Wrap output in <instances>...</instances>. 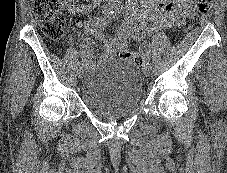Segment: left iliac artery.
<instances>
[{"label":"left iliac artery","mask_w":227,"mask_h":173,"mask_svg":"<svg viewBox=\"0 0 227 173\" xmlns=\"http://www.w3.org/2000/svg\"><path fill=\"white\" fill-rule=\"evenodd\" d=\"M146 65H149L151 67V63L149 61L146 62Z\"/></svg>","instance_id":"left-iliac-artery-1"}]
</instances>
